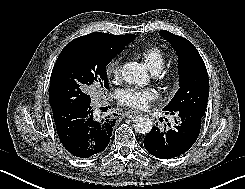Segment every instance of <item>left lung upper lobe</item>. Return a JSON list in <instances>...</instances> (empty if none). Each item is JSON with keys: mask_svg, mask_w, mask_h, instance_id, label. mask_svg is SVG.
Returning <instances> with one entry per match:
<instances>
[{"mask_svg": "<svg viewBox=\"0 0 245 189\" xmlns=\"http://www.w3.org/2000/svg\"><path fill=\"white\" fill-rule=\"evenodd\" d=\"M159 33L177 53L180 76V88L164 110H193L203 116L209 97V78L199 52L191 42L181 36L165 30Z\"/></svg>", "mask_w": 245, "mask_h": 189, "instance_id": "left-lung-upper-lobe-1", "label": "left lung upper lobe"}]
</instances>
